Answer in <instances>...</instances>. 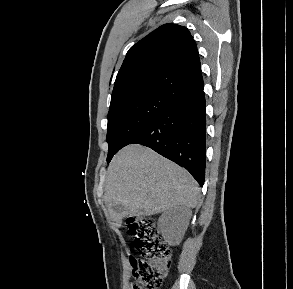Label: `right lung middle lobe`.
Here are the masks:
<instances>
[{
  "instance_id": "1",
  "label": "right lung middle lobe",
  "mask_w": 293,
  "mask_h": 289,
  "mask_svg": "<svg viewBox=\"0 0 293 289\" xmlns=\"http://www.w3.org/2000/svg\"><path fill=\"white\" fill-rule=\"evenodd\" d=\"M174 103L158 95L133 96L110 106L108 113L107 162L148 123Z\"/></svg>"
}]
</instances>
